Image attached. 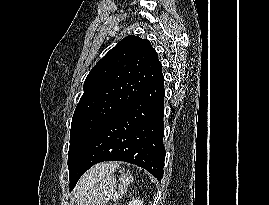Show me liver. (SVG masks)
I'll return each mask as SVG.
<instances>
[{"mask_svg": "<svg viewBox=\"0 0 269 205\" xmlns=\"http://www.w3.org/2000/svg\"><path fill=\"white\" fill-rule=\"evenodd\" d=\"M115 163H101L91 168L80 180L77 187V195L82 196L85 191L91 188L97 181L114 171Z\"/></svg>", "mask_w": 269, "mask_h": 205, "instance_id": "liver-1", "label": "liver"}]
</instances>
